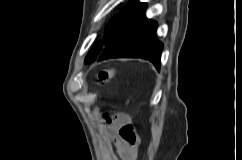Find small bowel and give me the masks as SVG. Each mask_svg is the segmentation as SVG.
I'll return each mask as SVG.
<instances>
[{
  "label": "small bowel",
  "mask_w": 242,
  "mask_h": 160,
  "mask_svg": "<svg viewBox=\"0 0 242 160\" xmlns=\"http://www.w3.org/2000/svg\"><path fill=\"white\" fill-rule=\"evenodd\" d=\"M113 127L117 130L116 147L122 160H135L140 143L139 137L134 133L133 141L126 139L125 133L131 127L124 117H119L114 121Z\"/></svg>",
  "instance_id": "small-bowel-1"
}]
</instances>
